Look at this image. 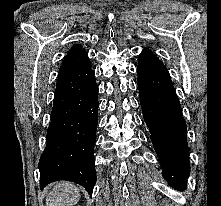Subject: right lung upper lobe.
Instances as JSON below:
<instances>
[{"label": "right lung upper lobe", "instance_id": "1", "mask_svg": "<svg viewBox=\"0 0 221 206\" xmlns=\"http://www.w3.org/2000/svg\"><path fill=\"white\" fill-rule=\"evenodd\" d=\"M88 62V54L85 49H83L80 45L73 46L69 50L63 64L59 69L58 78L73 72Z\"/></svg>", "mask_w": 221, "mask_h": 206}]
</instances>
